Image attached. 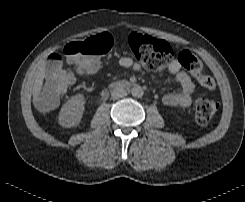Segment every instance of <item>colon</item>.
Masks as SVG:
<instances>
[{
  "label": "colon",
  "mask_w": 245,
  "mask_h": 202,
  "mask_svg": "<svg viewBox=\"0 0 245 202\" xmlns=\"http://www.w3.org/2000/svg\"><path fill=\"white\" fill-rule=\"evenodd\" d=\"M114 40L108 33L92 36L84 42H69L64 45L63 54L54 53L49 57L46 70L45 89L43 99L50 105L57 103L70 89L72 73L65 66L70 64L78 71H85L88 67L86 56L90 54H104L112 46ZM127 43L131 55L143 67L151 71H162L169 63L178 60L184 69L193 73L199 84L209 90L215 89L212 77L203 74V64L192 53L181 50L165 40L132 32L128 35ZM218 103L203 97L197 100L195 117L198 123L207 124L217 113Z\"/></svg>",
  "instance_id": "1"
}]
</instances>
